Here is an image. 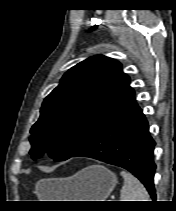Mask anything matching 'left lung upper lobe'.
Instances as JSON below:
<instances>
[{
	"label": "left lung upper lobe",
	"instance_id": "left-lung-upper-lobe-1",
	"mask_svg": "<svg viewBox=\"0 0 176 211\" xmlns=\"http://www.w3.org/2000/svg\"><path fill=\"white\" fill-rule=\"evenodd\" d=\"M122 65L102 55L68 70L45 98L31 128L32 158L49 153L63 161L78 152L109 118L135 100Z\"/></svg>",
	"mask_w": 176,
	"mask_h": 211
}]
</instances>
